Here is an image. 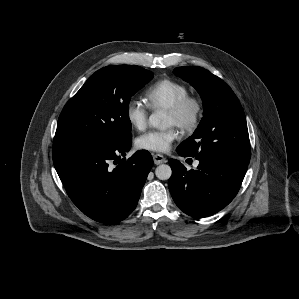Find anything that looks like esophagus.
<instances>
[{"mask_svg": "<svg viewBox=\"0 0 299 299\" xmlns=\"http://www.w3.org/2000/svg\"><path fill=\"white\" fill-rule=\"evenodd\" d=\"M153 160L156 165L162 164L166 162V158L161 154H154Z\"/></svg>", "mask_w": 299, "mask_h": 299, "instance_id": "esophagus-1", "label": "esophagus"}]
</instances>
